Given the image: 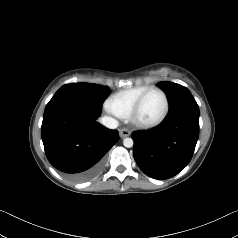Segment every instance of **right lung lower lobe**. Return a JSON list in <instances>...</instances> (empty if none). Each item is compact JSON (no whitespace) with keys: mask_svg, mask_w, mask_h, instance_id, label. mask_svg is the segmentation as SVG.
I'll list each match as a JSON object with an SVG mask.
<instances>
[{"mask_svg":"<svg viewBox=\"0 0 238 238\" xmlns=\"http://www.w3.org/2000/svg\"><path fill=\"white\" fill-rule=\"evenodd\" d=\"M101 105L75 95H55L47 104L42 122V141L49 162L72 181L96 176L104 155L118 142L117 130L101 126Z\"/></svg>","mask_w":238,"mask_h":238,"instance_id":"98d812e1","label":"right lung lower lobe"}]
</instances>
